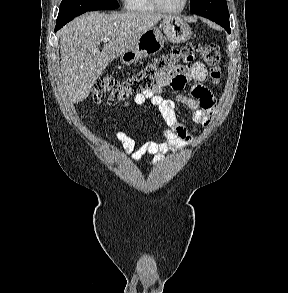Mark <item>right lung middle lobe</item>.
<instances>
[{
  "instance_id": "1",
  "label": "right lung middle lobe",
  "mask_w": 288,
  "mask_h": 293,
  "mask_svg": "<svg viewBox=\"0 0 288 293\" xmlns=\"http://www.w3.org/2000/svg\"><path fill=\"white\" fill-rule=\"evenodd\" d=\"M117 8V0H62L56 27L64 26L74 17H77L87 11Z\"/></svg>"
}]
</instances>
